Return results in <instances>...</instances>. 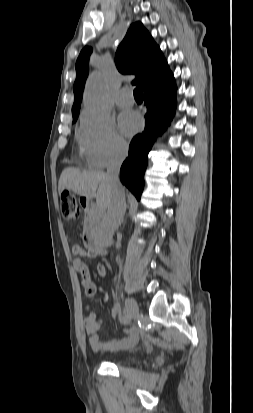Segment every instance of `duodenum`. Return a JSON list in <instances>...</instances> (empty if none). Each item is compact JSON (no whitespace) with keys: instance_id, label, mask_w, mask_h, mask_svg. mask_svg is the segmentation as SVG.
Masks as SVG:
<instances>
[{"instance_id":"1","label":"duodenum","mask_w":253,"mask_h":413,"mask_svg":"<svg viewBox=\"0 0 253 413\" xmlns=\"http://www.w3.org/2000/svg\"><path fill=\"white\" fill-rule=\"evenodd\" d=\"M81 204L84 211L87 214H90L93 208L91 202L87 199H83ZM83 237L87 243L88 251L92 256L106 255V249L101 243L100 234L95 224L91 223L85 228L83 232Z\"/></svg>"}]
</instances>
